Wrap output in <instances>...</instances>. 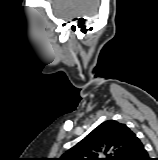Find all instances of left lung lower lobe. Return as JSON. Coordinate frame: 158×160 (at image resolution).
I'll list each match as a JSON object with an SVG mask.
<instances>
[{"label":"left lung lower lobe","instance_id":"obj_1","mask_svg":"<svg viewBox=\"0 0 158 160\" xmlns=\"http://www.w3.org/2000/svg\"><path fill=\"white\" fill-rule=\"evenodd\" d=\"M126 160H150L147 151L139 138L135 137Z\"/></svg>","mask_w":158,"mask_h":160}]
</instances>
